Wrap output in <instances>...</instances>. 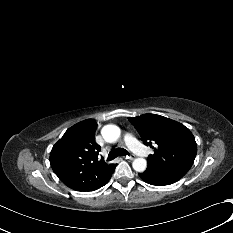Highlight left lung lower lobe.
I'll list each match as a JSON object with an SVG mask.
<instances>
[{"label":"left lung lower lobe","mask_w":233,"mask_h":233,"mask_svg":"<svg viewBox=\"0 0 233 233\" xmlns=\"http://www.w3.org/2000/svg\"><path fill=\"white\" fill-rule=\"evenodd\" d=\"M139 176L143 181L148 184L155 186H165L175 183L178 180H174L166 175L161 174L160 172L147 167L143 173H139Z\"/></svg>","instance_id":"1"}]
</instances>
